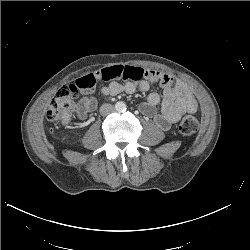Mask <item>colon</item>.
<instances>
[{
  "label": "colon",
  "mask_w": 250,
  "mask_h": 250,
  "mask_svg": "<svg viewBox=\"0 0 250 250\" xmlns=\"http://www.w3.org/2000/svg\"><path fill=\"white\" fill-rule=\"evenodd\" d=\"M78 95V87L70 84L61 87L52 99L46 112V117L50 121H68L75 109V99ZM199 127L198 120L187 115L179 123V131L183 136H193Z\"/></svg>",
  "instance_id": "obj_1"
}]
</instances>
